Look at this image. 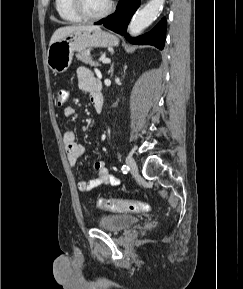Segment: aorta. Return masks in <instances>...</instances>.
Segmentation results:
<instances>
[{
  "label": "aorta",
  "instance_id": "aorta-1",
  "mask_svg": "<svg viewBox=\"0 0 243 289\" xmlns=\"http://www.w3.org/2000/svg\"><path fill=\"white\" fill-rule=\"evenodd\" d=\"M165 0H150L142 9L138 10L129 24L131 36L139 35L157 18Z\"/></svg>",
  "mask_w": 243,
  "mask_h": 289
}]
</instances>
